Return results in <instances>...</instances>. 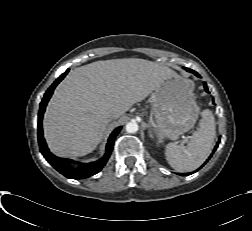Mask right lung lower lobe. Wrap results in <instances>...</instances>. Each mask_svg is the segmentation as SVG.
<instances>
[{
    "label": "right lung lower lobe",
    "instance_id": "1",
    "mask_svg": "<svg viewBox=\"0 0 252 231\" xmlns=\"http://www.w3.org/2000/svg\"><path fill=\"white\" fill-rule=\"evenodd\" d=\"M69 69L65 71L46 91L43 100L40 103V110L38 114V141H39V147L40 151L45 157V159L61 174L66 176L67 178H72V179H83V178H88L92 175H95L98 173L106 164L108 161L112 147L114 145V139L117 136V134L120 132L121 127L116 128L112 134L110 135L108 139V143L106 146V152L105 155L98 161L88 163V164H79L78 168H74L71 163H73L72 160L70 159H64V158H59L53 155L44 140L43 137V131H42V118L43 114L46 108V105L55 89V87L59 84V82L66 76L68 73Z\"/></svg>",
    "mask_w": 252,
    "mask_h": 231
}]
</instances>
